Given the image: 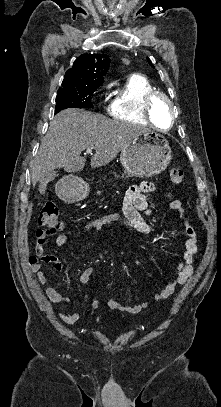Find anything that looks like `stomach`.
I'll use <instances>...</instances> for the list:
<instances>
[{
	"label": "stomach",
	"instance_id": "stomach-1",
	"mask_svg": "<svg viewBox=\"0 0 221 407\" xmlns=\"http://www.w3.org/2000/svg\"><path fill=\"white\" fill-rule=\"evenodd\" d=\"M120 161L124 168L123 177H152L167 168L171 161V148L163 135L147 131L122 149ZM88 194V184L75 176L68 178L60 190L62 199L69 203L81 201Z\"/></svg>",
	"mask_w": 221,
	"mask_h": 407
}]
</instances>
